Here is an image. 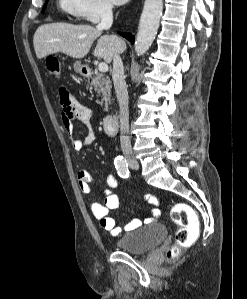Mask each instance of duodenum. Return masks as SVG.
Here are the masks:
<instances>
[{"instance_id":"1","label":"duodenum","mask_w":247,"mask_h":299,"mask_svg":"<svg viewBox=\"0 0 247 299\" xmlns=\"http://www.w3.org/2000/svg\"><path fill=\"white\" fill-rule=\"evenodd\" d=\"M104 130L108 135L116 134L118 130V115L117 113H110L105 116L103 121Z\"/></svg>"}]
</instances>
